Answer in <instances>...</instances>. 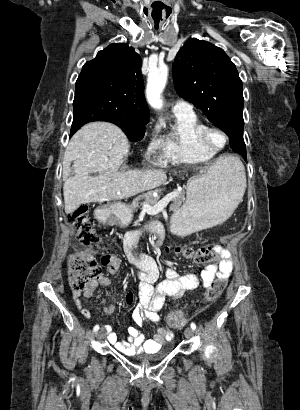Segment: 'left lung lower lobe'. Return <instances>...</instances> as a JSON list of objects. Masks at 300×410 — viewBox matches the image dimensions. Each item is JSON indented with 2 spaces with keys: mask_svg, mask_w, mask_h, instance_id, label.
Returning a JSON list of instances; mask_svg holds the SVG:
<instances>
[{
  "mask_svg": "<svg viewBox=\"0 0 300 410\" xmlns=\"http://www.w3.org/2000/svg\"><path fill=\"white\" fill-rule=\"evenodd\" d=\"M244 160L247 161V157H245Z\"/></svg>",
  "mask_w": 300,
  "mask_h": 410,
  "instance_id": "1",
  "label": "left lung lower lobe"
}]
</instances>
